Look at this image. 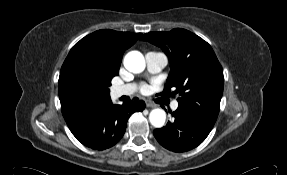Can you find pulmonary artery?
<instances>
[{
	"instance_id": "pulmonary-artery-1",
	"label": "pulmonary artery",
	"mask_w": 287,
	"mask_h": 175,
	"mask_svg": "<svg viewBox=\"0 0 287 175\" xmlns=\"http://www.w3.org/2000/svg\"><path fill=\"white\" fill-rule=\"evenodd\" d=\"M147 69L150 73H158L167 65V57L162 52L150 51L145 55ZM137 85L134 83L115 86L112 90V94L115 98L132 95L136 92ZM179 104L177 101L173 102L172 109L176 110Z\"/></svg>"
}]
</instances>
